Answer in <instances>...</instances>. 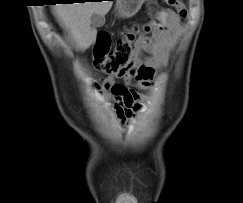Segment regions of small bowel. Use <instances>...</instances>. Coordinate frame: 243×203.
<instances>
[{
    "mask_svg": "<svg viewBox=\"0 0 243 203\" xmlns=\"http://www.w3.org/2000/svg\"><path fill=\"white\" fill-rule=\"evenodd\" d=\"M180 30L181 22L177 15L165 10L152 37H140L135 42L130 67L120 74L108 75L103 79V88L110 92L113 108L121 122L133 121L144 107V99L129 84L135 81L141 88H154L155 72L163 64L172 39ZM118 79L124 83H118Z\"/></svg>",
    "mask_w": 243,
    "mask_h": 203,
    "instance_id": "c3829d8e",
    "label": "small bowel"
}]
</instances>
